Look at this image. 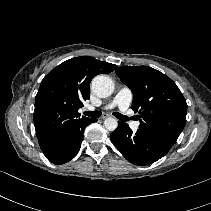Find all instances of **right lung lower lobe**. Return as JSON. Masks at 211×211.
Instances as JSON below:
<instances>
[{"label":"right lung lower lobe","instance_id":"98d812e1","mask_svg":"<svg viewBox=\"0 0 211 211\" xmlns=\"http://www.w3.org/2000/svg\"><path fill=\"white\" fill-rule=\"evenodd\" d=\"M95 121L97 120L88 119L72 127L50 144L42 147V152L54 164H64L70 161L80 150L85 127Z\"/></svg>","mask_w":211,"mask_h":211}]
</instances>
